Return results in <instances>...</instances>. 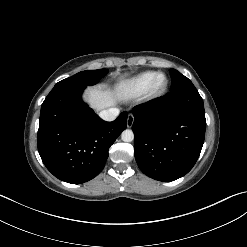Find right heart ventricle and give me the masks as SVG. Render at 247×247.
<instances>
[{"mask_svg":"<svg viewBox=\"0 0 247 247\" xmlns=\"http://www.w3.org/2000/svg\"><path fill=\"white\" fill-rule=\"evenodd\" d=\"M157 75L155 71H146L123 81L119 85L120 93L126 98H135L148 92V89Z\"/></svg>","mask_w":247,"mask_h":247,"instance_id":"e07e8e85","label":"right heart ventricle"}]
</instances>
